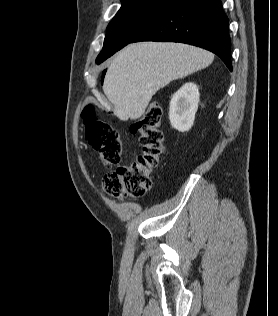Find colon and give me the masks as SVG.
Wrapping results in <instances>:
<instances>
[{
    "instance_id": "colon-1",
    "label": "colon",
    "mask_w": 278,
    "mask_h": 316,
    "mask_svg": "<svg viewBox=\"0 0 278 316\" xmlns=\"http://www.w3.org/2000/svg\"><path fill=\"white\" fill-rule=\"evenodd\" d=\"M162 115L161 106L151 103L144 116L132 124L131 131L140 135L143 154L131 163L120 165L124 146L119 131L101 119L93 106L85 108V139L108 168L115 167L103 177L105 194L115 198L142 197L151 188L153 172L165 151L160 129Z\"/></svg>"
}]
</instances>
